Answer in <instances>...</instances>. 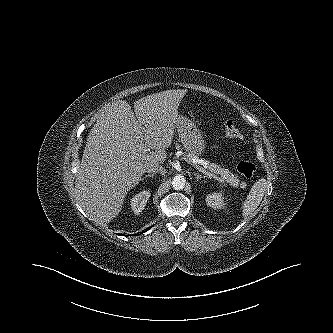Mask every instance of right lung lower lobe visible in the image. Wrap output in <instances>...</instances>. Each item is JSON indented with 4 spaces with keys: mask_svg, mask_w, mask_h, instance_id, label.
Returning <instances> with one entry per match:
<instances>
[{
    "mask_svg": "<svg viewBox=\"0 0 333 333\" xmlns=\"http://www.w3.org/2000/svg\"><path fill=\"white\" fill-rule=\"evenodd\" d=\"M150 228H151V227H150ZM150 228H148V229H150ZM148 229H146L145 232H146ZM140 234H142V233H140ZM120 235H121V234H120ZM136 235H138V234H136Z\"/></svg>",
    "mask_w": 333,
    "mask_h": 333,
    "instance_id": "obj_1",
    "label": "right lung lower lobe"
}]
</instances>
